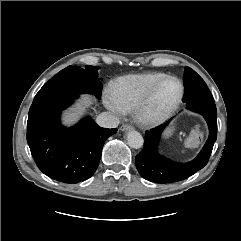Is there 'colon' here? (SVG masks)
<instances>
[{
  "label": "colon",
  "mask_w": 241,
  "mask_h": 241,
  "mask_svg": "<svg viewBox=\"0 0 241 241\" xmlns=\"http://www.w3.org/2000/svg\"><path fill=\"white\" fill-rule=\"evenodd\" d=\"M203 133L199 127H196L190 133L187 144L191 147L197 146L202 141Z\"/></svg>",
  "instance_id": "obj_1"
}]
</instances>
